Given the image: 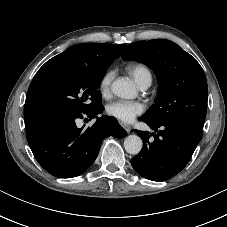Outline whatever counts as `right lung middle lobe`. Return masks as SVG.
Returning <instances> with one entry per match:
<instances>
[{
	"label": "right lung middle lobe",
	"instance_id": "obj_1",
	"mask_svg": "<svg viewBox=\"0 0 227 227\" xmlns=\"http://www.w3.org/2000/svg\"><path fill=\"white\" fill-rule=\"evenodd\" d=\"M111 61L104 67L54 63L44 69L35 84V101L45 116L75 115L100 105L97 90Z\"/></svg>",
	"mask_w": 227,
	"mask_h": 227
}]
</instances>
